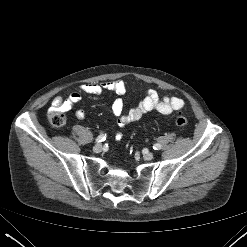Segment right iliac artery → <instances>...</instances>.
I'll return each mask as SVG.
<instances>
[{
	"mask_svg": "<svg viewBox=\"0 0 247 247\" xmlns=\"http://www.w3.org/2000/svg\"><path fill=\"white\" fill-rule=\"evenodd\" d=\"M106 138V135L105 134H100L97 139H96V143H100L102 141H104Z\"/></svg>",
	"mask_w": 247,
	"mask_h": 247,
	"instance_id": "right-iliac-artery-1",
	"label": "right iliac artery"
}]
</instances>
